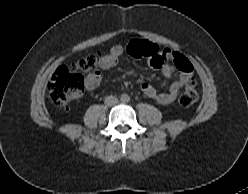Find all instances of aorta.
Returning a JSON list of instances; mask_svg holds the SVG:
<instances>
[{
  "instance_id": "1",
  "label": "aorta",
  "mask_w": 248,
  "mask_h": 194,
  "mask_svg": "<svg viewBox=\"0 0 248 194\" xmlns=\"http://www.w3.org/2000/svg\"><path fill=\"white\" fill-rule=\"evenodd\" d=\"M120 100L122 103H128L130 101V96L128 94H122Z\"/></svg>"
}]
</instances>
